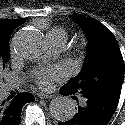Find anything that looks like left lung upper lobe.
<instances>
[{
    "label": "left lung upper lobe",
    "mask_w": 125,
    "mask_h": 125,
    "mask_svg": "<svg viewBox=\"0 0 125 125\" xmlns=\"http://www.w3.org/2000/svg\"><path fill=\"white\" fill-rule=\"evenodd\" d=\"M87 34L88 53L82 71L64 85L70 94L84 98L120 97L124 77V62L112 32L100 22L73 15Z\"/></svg>",
    "instance_id": "left-lung-upper-lobe-1"
}]
</instances>
